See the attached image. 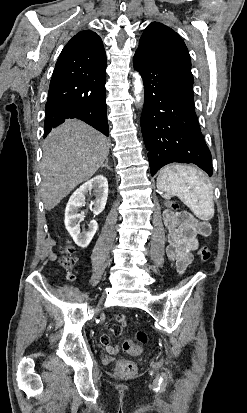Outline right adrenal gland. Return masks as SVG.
<instances>
[{"instance_id":"obj_1","label":"right adrenal gland","mask_w":247,"mask_h":413,"mask_svg":"<svg viewBox=\"0 0 247 413\" xmlns=\"http://www.w3.org/2000/svg\"><path fill=\"white\" fill-rule=\"evenodd\" d=\"M102 166H107V168H109V170H112L111 166H108V158H106L104 164H101V168Z\"/></svg>"}]
</instances>
